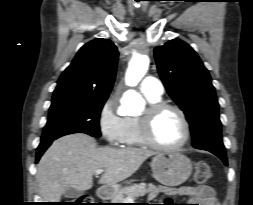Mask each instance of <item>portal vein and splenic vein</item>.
Wrapping results in <instances>:
<instances>
[{"label": "portal vein and splenic vein", "instance_id": "portal-vein-and-splenic-vein-1", "mask_svg": "<svg viewBox=\"0 0 253 205\" xmlns=\"http://www.w3.org/2000/svg\"><path fill=\"white\" fill-rule=\"evenodd\" d=\"M103 172H104V170L100 169V170H97L95 173H96V174H101V173H103ZM129 201H132V199H129Z\"/></svg>", "mask_w": 253, "mask_h": 205}]
</instances>
